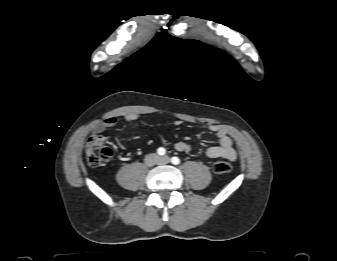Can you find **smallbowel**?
Instances as JSON below:
<instances>
[{
  "mask_svg": "<svg viewBox=\"0 0 337 261\" xmlns=\"http://www.w3.org/2000/svg\"><path fill=\"white\" fill-rule=\"evenodd\" d=\"M139 118V115L136 113H128L124 116V120L126 123H132ZM117 123V119L115 117H108L101 122H99L95 128L96 132H103L105 129L113 127ZM182 122L177 120L175 125H180ZM208 130L213 132L218 138L219 144L216 146H211L207 149L206 155L209 158H225L230 161H234L236 159V151L233 148V142L227 131L215 124L208 125ZM162 142L164 144H170V140L166 137L161 136ZM174 148L180 152L188 153L191 151V146L184 141L174 142Z\"/></svg>",
  "mask_w": 337,
  "mask_h": 261,
  "instance_id": "c3829d8e",
  "label": "small bowel"
}]
</instances>
